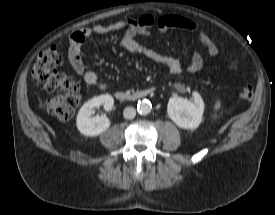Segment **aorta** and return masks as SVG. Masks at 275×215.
Listing matches in <instances>:
<instances>
[{
  "instance_id": "aorta-1",
  "label": "aorta",
  "mask_w": 275,
  "mask_h": 215,
  "mask_svg": "<svg viewBox=\"0 0 275 215\" xmlns=\"http://www.w3.org/2000/svg\"><path fill=\"white\" fill-rule=\"evenodd\" d=\"M152 105L148 100L139 101L137 104V111L142 115H147L151 112Z\"/></svg>"
}]
</instances>
